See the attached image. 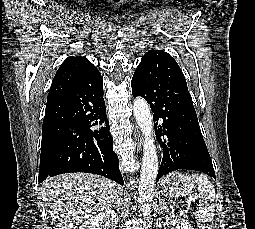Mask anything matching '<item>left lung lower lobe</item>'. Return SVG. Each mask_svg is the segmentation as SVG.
Here are the masks:
<instances>
[{"label": "left lung lower lobe", "instance_id": "1", "mask_svg": "<svg viewBox=\"0 0 255 229\" xmlns=\"http://www.w3.org/2000/svg\"><path fill=\"white\" fill-rule=\"evenodd\" d=\"M131 83L133 96H142L150 104L158 142L164 145L157 181L178 169L201 171L216 179L192 98L177 62L164 51H149L142 57Z\"/></svg>", "mask_w": 255, "mask_h": 229}]
</instances>
